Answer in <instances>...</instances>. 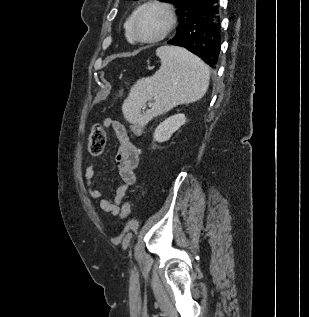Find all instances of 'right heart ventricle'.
Returning a JSON list of instances; mask_svg holds the SVG:
<instances>
[{
	"label": "right heart ventricle",
	"mask_w": 309,
	"mask_h": 317,
	"mask_svg": "<svg viewBox=\"0 0 309 317\" xmlns=\"http://www.w3.org/2000/svg\"><path fill=\"white\" fill-rule=\"evenodd\" d=\"M133 15H134V13L127 18V20H126V22L124 24L125 34H126V37H127V39L129 41H134V39H135L134 36H133V33H132V18H133Z\"/></svg>",
	"instance_id": "1"
}]
</instances>
